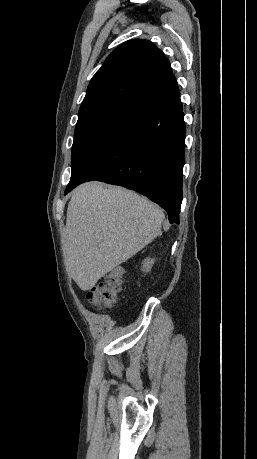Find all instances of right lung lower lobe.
<instances>
[{
  "label": "right lung lower lobe",
  "instance_id": "98d812e1",
  "mask_svg": "<svg viewBox=\"0 0 257 459\" xmlns=\"http://www.w3.org/2000/svg\"><path fill=\"white\" fill-rule=\"evenodd\" d=\"M185 123L178 86L136 111L107 146L74 176L65 194L98 180L135 190L160 205L179 224Z\"/></svg>",
  "mask_w": 257,
  "mask_h": 459
}]
</instances>
